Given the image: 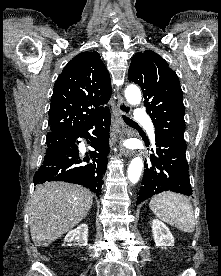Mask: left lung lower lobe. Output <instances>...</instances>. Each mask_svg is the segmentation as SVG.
I'll return each instance as SVG.
<instances>
[{
	"instance_id": "1",
	"label": "left lung lower lobe",
	"mask_w": 221,
	"mask_h": 276,
	"mask_svg": "<svg viewBox=\"0 0 221 276\" xmlns=\"http://www.w3.org/2000/svg\"><path fill=\"white\" fill-rule=\"evenodd\" d=\"M155 154L144 163L142 186L137 193V204L163 191L192 195L189 180L186 146L175 140L155 135ZM153 151V149H152Z\"/></svg>"
}]
</instances>
